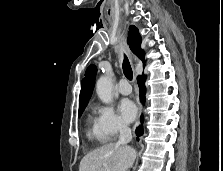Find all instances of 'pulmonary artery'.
Listing matches in <instances>:
<instances>
[{
	"instance_id": "e3ab8cb5",
	"label": "pulmonary artery",
	"mask_w": 223,
	"mask_h": 171,
	"mask_svg": "<svg viewBox=\"0 0 223 171\" xmlns=\"http://www.w3.org/2000/svg\"><path fill=\"white\" fill-rule=\"evenodd\" d=\"M118 91L122 95H129L132 92V88L126 79L120 80Z\"/></svg>"
}]
</instances>
